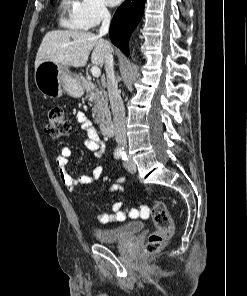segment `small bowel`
I'll list each match as a JSON object with an SVG mask.
<instances>
[{
    "mask_svg": "<svg viewBox=\"0 0 247 296\" xmlns=\"http://www.w3.org/2000/svg\"><path fill=\"white\" fill-rule=\"evenodd\" d=\"M76 120L81 126V128L86 132V139L84 141L85 147L89 149L91 152H93L95 158H99L101 156V146L97 130L93 126L90 119L84 113H78L76 115ZM70 156V148L63 147L60 153L55 158V163L59 172L60 179L68 191L72 192L78 187H85L102 176L103 166L101 165L95 166L91 174L89 175L83 174L75 177L71 176L66 170V166ZM124 181V178L114 180L109 188V193H114L117 191L122 192V184ZM143 208L144 207H142V209ZM140 213L141 212H139L136 209H124L122 203L120 201H116L112 204L111 213H99L96 219L98 223L103 225L111 223H122L126 220L127 216L135 218L138 217Z\"/></svg>",
    "mask_w": 247,
    "mask_h": 296,
    "instance_id": "1",
    "label": "small bowel"
}]
</instances>
